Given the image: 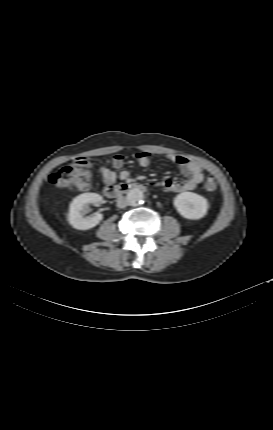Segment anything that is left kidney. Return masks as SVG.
<instances>
[{"mask_svg": "<svg viewBox=\"0 0 273 430\" xmlns=\"http://www.w3.org/2000/svg\"><path fill=\"white\" fill-rule=\"evenodd\" d=\"M174 206L178 213L190 220L203 218L209 208L208 200L193 192H183L174 199Z\"/></svg>", "mask_w": 273, "mask_h": 430, "instance_id": "5707ae66", "label": "left kidney"}]
</instances>
